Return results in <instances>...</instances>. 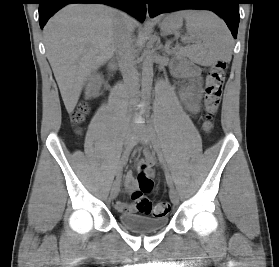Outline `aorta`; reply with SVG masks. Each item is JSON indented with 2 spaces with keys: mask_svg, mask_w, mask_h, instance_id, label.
Segmentation results:
<instances>
[{
  "mask_svg": "<svg viewBox=\"0 0 279 267\" xmlns=\"http://www.w3.org/2000/svg\"><path fill=\"white\" fill-rule=\"evenodd\" d=\"M153 82V58L149 51L143 56L142 63V92L145 98L149 97Z\"/></svg>",
  "mask_w": 279,
  "mask_h": 267,
  "instance_id": "obj_1",
  "label": "aorta"
}]
</instances>
